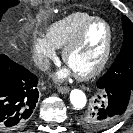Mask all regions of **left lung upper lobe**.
I'll return each instance as SVG.
<instances>
[{
    "label": "left lung upper lobe",
    "instance_id": "left-lung-upper-lobe-1",
    "mask_svg": "<svg viewBox=\"0 0 133 133\" xmlns=\"http://www.w3.org/2000/svg\"><path fill=\"white\" fill-rule=\"evenodd\" d=\"M122 27L124 42L121 51L110 69L98 80L97 87L100 89L109 85H118L133 90V24L126 16L122 17ZM96 108L94 111L78 115L77 122L80 127L88 131H99L109 127V120L98 122L94 119Z\"/></svg>",
    "mask_w": 133,
    "mask_h": 133
}]
</instances>
